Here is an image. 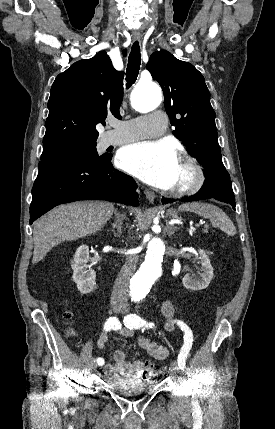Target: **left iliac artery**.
<instances>
[{
	"mask_svg": "<svg viewBox=\"0 0 275 429\" xmlns=\"http://www.w3.org/2000/svg\"><path fill=\"white\" fill-rule=\"evenodd\" d=\"M177 325L181 328V330L184 332V344L180 350V353L178 355V365L181 370H184L186 358L188 356V353L192 347L193 343V333L191 329L182 321L175 320ZM124 324L129 329H140V328H152L153 323H147L145 320H143L141 317H139L136 314H129L124 319Z\"/></svg>",
	"mask_w": 275,
	"mask_h": 429,
	"instance_id": "1",
	"label": "left iliac artery"
}]
</instances>
